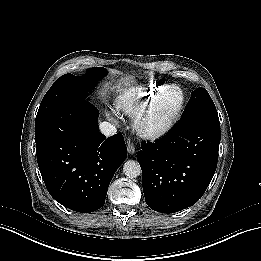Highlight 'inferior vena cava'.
I'll use <instances>...</instances> for the list:
<instances>
[{
    "label": "inferior vena cava",
    "instance_id": "inferior-vena-cava-1",
    "mask_svg": "<svg viewBox=\"0 0 261 261\" xmlns=\"http://www.w3.org/2000/svg\"><path fill=\"white\" fill-rule=\"evenodd\" d=\"M99 130L106 137L113 136L117 132L116 127L114 125L110 124L109 122L100 123Z\"/></svg>",
    "mask_w": 261,
    "mask_h": 261
}]
</instances>
